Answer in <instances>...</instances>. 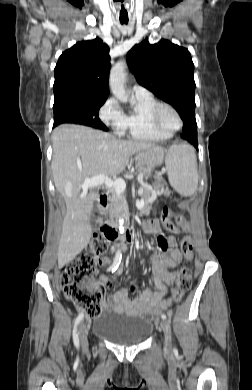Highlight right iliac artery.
<instances>
[{
    "mask_svg": "<svg viewBox=\"0 0 252 390\" xmlns=\"http://www.w3.org/2000/svg\"><path fill=\"white\" fill-rule=\"evenodd\" d=\"M121 258H122V254H121L120 250H118L116 253V256L114 258V262H113L112 266L108 269V271L114 272L118 268V266L121 262ZM83 317H84L83 313H80L77 316L75 323H74V328H73V342L77 348L79 347V337H78V333H77V326H78L79 322L83 319Z\"/></svg>",
    "mask_w": 252,
    "mask_h": 390,
    "instance_id": "82829eb1",
    "label": "right iliac artery"
}]
</instances>
